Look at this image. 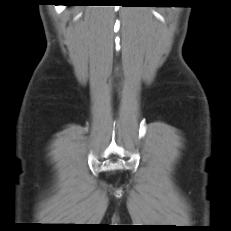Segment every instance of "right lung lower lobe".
<instances>
[{
    "label": "right lung lower lobe",
    "instance_id": "1",
    "mask_svg": "<svg viewBox=\"0 0 231 231\" xmlns=\"http://www.w3.org/2000/svg\"><path fill=\"white\" fill-rule=\"evenodd\" d=\"M66 2H68L66 5H77L74 0H66Z\"/></svg>",
    "mask_w": 231,
    "mask_h": 231
}]
</instances>
